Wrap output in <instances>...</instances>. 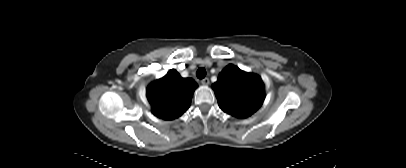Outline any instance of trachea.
I'll use <instances>...</instances> for the list:
<instances>
[{
    "mask_svg": "<svg viewBox=\"0 0 406 168\" xmlns=\"http://www.w3.org/2000/svg\"><path fill=\"white\" fill-rule=\"evenodd\" d=\"M196 76L199 79H203L206 76V70L203 67L199 68L196 72Z\"/></svg>",
    "mask_w": 406,
    "mask_h": 168,
    "instance_id": "1",
    "label": "trachea"
}]
</instances>
